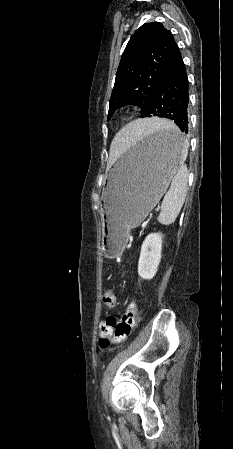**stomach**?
<instances>
[{"mask_svg":"<svg viewBox=\"0 0 233 449\" xmlns=\"http://www.w3.org/2000/svg\"><path fill=\"white\" fill-rule=\"evenodd\" d=\"M182 136L177 128L149 133L109 171L102 192V249L108 258L122 253L129 230L141 224L165 193L184 159Z\"/></svg>","mask_w":233,"mask_h":449,"instance_id":"stomach-1","label":"stomach"}]
</instances>
